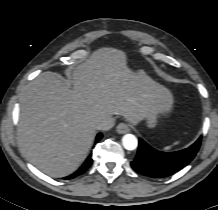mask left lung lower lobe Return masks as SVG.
I'll list each match as a JSON object with an SVG mask.
<instances>
[{"instance_id":"left-lung-lower-lobe-1","label":"left lung lower lobe","mask_w":218,"mask_h":210,"mask_svg":"<svg viewBox=\"0 0 218 210\" xmlns=\"http://www.w3.org/2000/svg\"><path fill=\"white\" fill-rule=\"evenodd\" d=\"M201 137L190 147L177 152H162L139 139L138 151L131 162L132 168L139 174L152 178L167 177L184 166L195 157L201 144Z\"/></svg>"}]
</instances>
